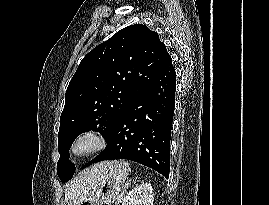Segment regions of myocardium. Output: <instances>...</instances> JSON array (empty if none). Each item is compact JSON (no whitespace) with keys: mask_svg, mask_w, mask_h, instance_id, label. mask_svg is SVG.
Returning <instances> with one entry per match:
<instances>
[{"mask_svg":"<svg viewBox=\"0 0 269 205\" xmlns=\"http://www.w3.org/2000/svg\"><path fill=\"white\" fill-rule=\"evenodd\" d=\"M89 140L91 146L82 152L76 150L77 145L84 141ZM108 145V139L105 133L97 127H88L77 132L69 145V153L75 158H84L103 151Z\"/></svg>","mask_w":269,"mask_h":205,"instance_id":"obj_1","label":"myocardium"}]
</instances>
